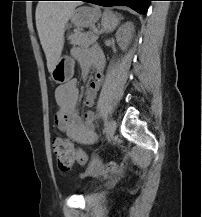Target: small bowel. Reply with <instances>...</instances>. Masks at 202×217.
Instances as JSON below:
<instances>
[{
    "label": "small bowel",
    "mask_w": 202,
    "mask_h": 217,
    "mask_svg": "<svg viewBox=\"0 0 202 217\" xmlns=\"http://www.w3.org/2000/svg\"><path fill=\"white\" fill-rule=\"evenodd\" d=\"M73 57L78 61L83 77L88 75L90 67H94V78L87 84L84 104L91 107L102 84V71L104 59L95 51H85L79 48L72 50ZM80 99L78 83L71 79L55 90V103L57 111L54 117L56 126L76 143L91 145L96 143L97 137L94 131L96 114L87 111L82 117L77 104Z\"/></svg>",
    "instance_id": "1"
}]
</instances>
